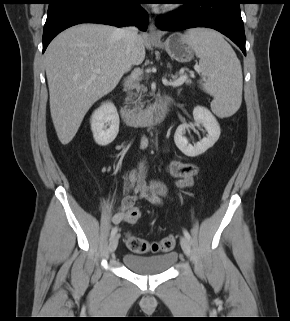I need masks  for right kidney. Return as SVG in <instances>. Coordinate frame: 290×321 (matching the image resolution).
Instances as JSON below:
<instances>
[{
    "label": "right kidney",
    "instance_id": "1",
    "mask_svg": "<svg viewBox=\"0 0 290 321\" xmlns=\"http://www.w3.org/2000/svg\"><path fill=\"white\" fill-rule=\"evenodd\" d=\"M90 123L95 142L100 146L110 144L119 132V115L114 104L103 103L93 112Z\"/></svg>",
    "mask_w": 290,
    "mask_h": 321
}]
</instances>
